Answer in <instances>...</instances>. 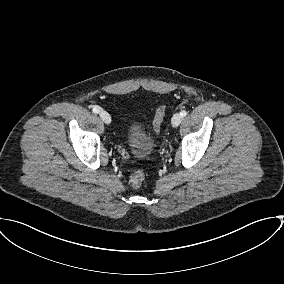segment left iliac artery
<instances>
[{
  "label": "left iliac artery",
  "mask_w": 284,
  "mask_h": 284,
  "mask_svg": "<svg viewBox=\"0 0 284 284\" xmlns=\"http://www.w3.org/2000/svg\"><path fill=\"white\" fill-rule=\"evenodd\" d=\"M186 114H187V112H186L185 110H182V111L180 112L181 117H185Z\"/></svg>",
  "instance_id": "obj_1"
}]
</instances>
